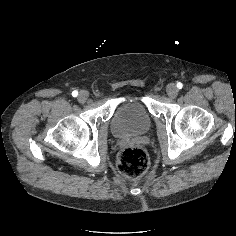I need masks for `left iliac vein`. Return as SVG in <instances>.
<instances>
[{"mask_svg": "<svg viewBox=\"0 0 236 236\" xmlns=\"http://www.w3.org/2000/svg\"><path fill=\"white\" fill-rule=\"evenodd\" d=\"M167 94L170 98H175L178 95V89L174 84H169L166 88Z\"/></svg>", "mask_w": 236, "mask_h": 236, "instance_id": "obj_1", "label": "left iliac vein"}]
</instances>
